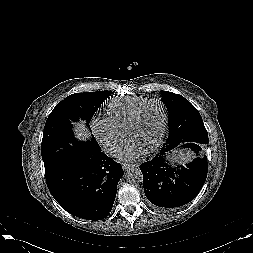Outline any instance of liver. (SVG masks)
Instances as JSON below:
<instances>
[{"label": "liver", "instance_id": "6515ba94", "mask_svg": "<svg viewBox=\"0 0 253 253\" xmlns=\"http://www.w3.org/2000/svg\"><path fill=\"white\" fill-rule=\"evenodd\" d=\"M84 131H85V127L82 123L78 124V126H76V133H77L78 137L84 135Z\"/></svg>", "mask_w": 253, "mask_h": 253}]
</instances>
